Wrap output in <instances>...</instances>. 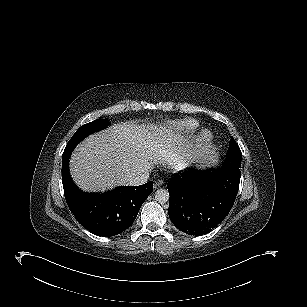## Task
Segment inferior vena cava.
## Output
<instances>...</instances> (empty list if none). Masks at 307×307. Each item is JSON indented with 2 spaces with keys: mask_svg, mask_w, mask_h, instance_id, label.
Returning <instances> with one entry per match:
<instances>
[{
  "mask_svg": "<svg viewBox=\"0 0 307 307\" xmlns=\"http://www.w3.org/2000/svg\"><path fill=\"white\" fill-rule=\"evenodd\" d=\"M149 179V172L144 171L139 174L133 175L130 177L128 181V185L130 186H139L145 184Z\"/></svg>",
  "mask_w": 307,
  "mask_h": 307,
  "instance_id": "602c4592",
  "label": "inferior vena cava"
}]
</instances>
